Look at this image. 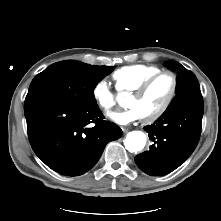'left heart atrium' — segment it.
<instances>
[{
  "mask_svg": "<svg viewBox=\"0 0 221 221\" xmlns=\"http://www.w3.org/2000/svg\"><path fill=\"white\" fill-rule=\"evenodd\" d=\"M112 121L119 125H128L141 118V115L135 108H129L122 111H116L110 115Z\"/></svg>",
  "mask_w": 221,
  "mask_h": 221,
  "instance_id": "left-heart-atrium-1",
  "label": "left heart atrium"
}]
</instances>
